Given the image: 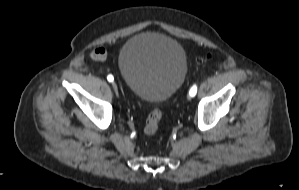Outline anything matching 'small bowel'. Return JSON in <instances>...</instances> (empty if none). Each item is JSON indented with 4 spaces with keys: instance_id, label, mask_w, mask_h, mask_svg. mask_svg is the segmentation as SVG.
I'll use <instances>...</instances> for the list:
<instances>
[{
    "instance_id": "small-bowel-1",
    "label": "small bowel",
    "mask_w": 299,
    "mask_h": 190,
    "mask_svg": "<svg viewBox=\"0 0 299 190\" xmlns=\"http://www.w3.org/2000/svg\"><path fill=\"white\" fill-rule=\"evenodd\" d=\"M91 57L100 61L105 60L107 57V51L103 47L97 48L91 53Z\"/></svg>"
}]
</instances>
